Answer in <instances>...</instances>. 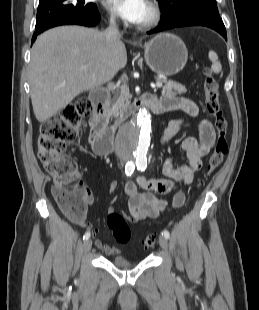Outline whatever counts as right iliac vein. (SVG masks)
Masks as SVG:
<instances>
[{"label":"right iliac vein","instance_id":"1","mask_svg":"<svg viewBox=\"0 0 259 310\" xmlns=\"http://www.w3.org/2000/svg\"><path fill=\"white\" fill-rule=\"evenodd\" d=\"M92 247V241L90 239L84 242V250L88 252Z\"/></svg>","mask_w":259,"mask_h":310}]
</instances>
